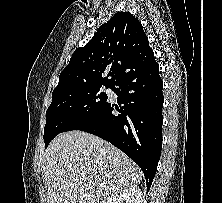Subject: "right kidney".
Instances as JSON below:
<instances>
[{
  "mask_svg": "<svg viewBox=\"0 0 222 203\" xmlns=\"http://www.w3.org/2000/svg\"><path fill=\"white\" fill-rule=\"evenodd\" d=\"M142 195L139 187H129L107 203H142Z\"/></svg>",
  "mask_w": 222,
  "mask_h": 203,
  "instance_id": "right-kidney-1",
  "label": "right kidney"
}]
</instances>
